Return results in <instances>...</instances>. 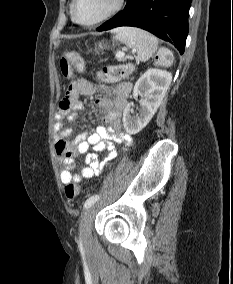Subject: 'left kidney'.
Segmentation results:
<instances>
[{
  "label": "left kidney",
  "instance_id": "left-kidney-1",
  "mask_svg": "<svg viewBox=\"0 0 233 284\" xmlns=\"http://www.w3.org/2000/svg\"><path fill=\"white\" fill-rule=\"evenodd\" d=\"M172 81V74L161 69H148L135 83L133 97L144 94L140 101V110L136 116H131V105L128 104L123 113V126L128 134H137L152 119L161 105L165 93Z\"/></svg>",
  "mask_w": 233,
  "mask_h": 284
}]
</instances>
